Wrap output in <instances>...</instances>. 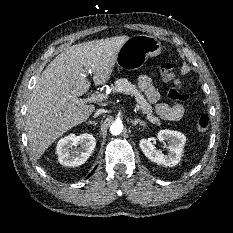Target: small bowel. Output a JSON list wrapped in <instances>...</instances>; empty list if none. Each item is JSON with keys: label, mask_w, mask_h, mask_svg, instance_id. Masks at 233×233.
Segmentation results:
<instances>
[{"label": "small bowel", "mask_w": 233, "mask_h": 233, "mask_svg": "<svg viewBox=\"0 0 233 233\" xmlns=\"http://www.w3.org/2000/svg\"><path fill=\"white\" fill-rule=\"evenodd\" d=\"M175 84L181 87V83L178 79ZM137 85L145 93L147 100L155 104V112L160 118L168 121H178L183 118L185 108L182 104L177 103L169 105L166 103H158L160 95L150 77L147 75H140L137 79Z\"/></svg>", "instance_id": "c3829d8e"}]
</instances>
